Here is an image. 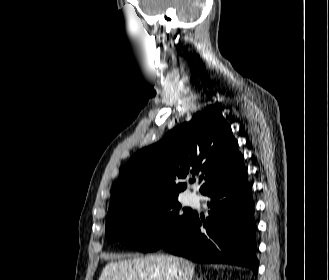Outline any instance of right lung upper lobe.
<instances>
[{
	"label": "right lung upper lobe",
	"mask_w": 329,
	"mask_h": 280,
	"mask_svg": "<svg viewBox=\"0 0 329 280\" xmlns=\"http://www.w3.org/2000/svg\"><path fill=\"white\" fill-rule=\"evenodd\" d=\"M237 147L221 114L197 112L190 122L130 158L114 187L108 212L148 196H178L186 189L181 180L195 173H202V192L242 163Z\"/></svg>",
	"instance_id": "right-lung-upper-lobe-1"
}]
</instances>
